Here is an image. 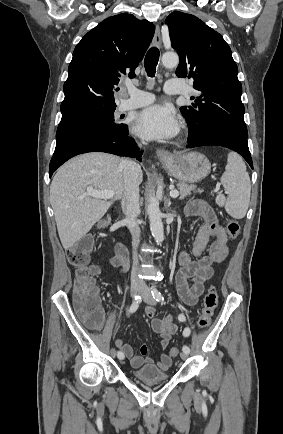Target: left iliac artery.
Returning <instances> with one entry per match:
<instances>
[{
    "label": "left iliac artery",
    "instance_id": "44dca946",
    "mask_svg": "<svg viewBox=\"0 0 283 434\" xmlns=\"http://www.w3.org/2000/svg\"><path fill=\"white\" fill-rule=\"evenodd\" d=\"M152 295H153V298L156 301H159V302L160 301H164V297L162 296V294L156 288H153ZM178 320L181 321V322H184L186 320V317L184 315H179L178 316ZM189 334H190V329L189 328H185L184 331H183V336L187 337V336H189ZM182 350L185 353H190V348L188 346H186V345L183 346Z\"/></svg>",
    "mask_w": 283,
    "mask_h": 434
}]
</instances>
